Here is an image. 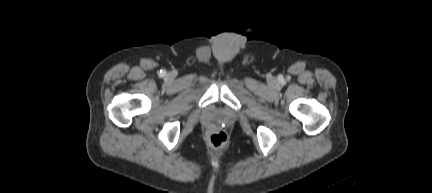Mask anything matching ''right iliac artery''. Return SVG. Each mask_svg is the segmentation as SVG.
<instances>
[{"label":"right iliac artery","mask_w":432,"mask_h":193,"mask_svg":"<svg viewBox=\"0 0 432 193\" xmlns=\"http://www.w3.org/2000/svg\"><path fill=\"white\" fill-rule=\"evenodd\" d=\"M165 73H166L165 71H162V70L160 71V75H161V76H164Z\"/></svg>","instance_id":"1"}]
</instances>
